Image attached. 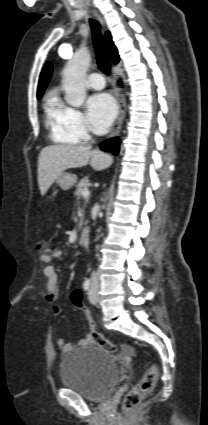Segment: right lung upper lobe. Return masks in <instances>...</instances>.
I'll return each mask as SVG.
<instances>
[{
    "label": "right lung upper lobe",
    "mask_w": 208,
    "mask_h": 425,
    "mask_svg": "<svg viewBox=\"0 0 208 425\" xmlns=\"http://www.w3.org/2000/svg\"><path fill=\"white\" fill-rule=\"evenodd\" d=\"M105 43H106L108 53H109V57H110L111 61L113 63H118V61H119L118 51H117V48L115 47V45L112 42V37H111V34H110L109 31H107L105 33ZM51 73H52V67L49 63H47L43 67L41 75H40L38 90H37L38 99L41 98V96H42V94H43V92L46 88V85H47V83L50 79Z\"/></svg>",
    "instance_id": "cb5924a9"
}]
</instances>
